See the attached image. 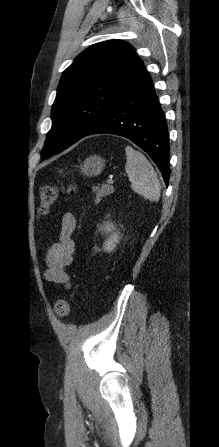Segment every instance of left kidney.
<instances>
[{"label":"left kidney","instance_id":"5707ae66","mask_svg":"<svg viewBox=\"0 0 219 447\" xmlns=\"http://www.w3.org/2000/svg\"><path fill=\"white\" fill-rule=\"evenodd\" d=\"M102 230L108 234V233H112L109 238L104 242L103 244V249L106 252H111L112 250H114V248L116 247V245L119 243L120 240V236L119 233L116 231L115 232V227L113 226V224L107 222L106 224H104Z\"/></svg>","mask_w":219,"mask_h":447}]
</instances>
